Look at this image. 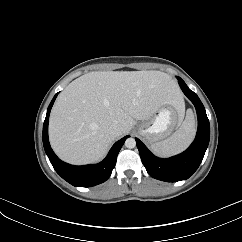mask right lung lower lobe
<instances>
[{"label":"right lung lower lobe","mask_w":242,"mask_h":242,"mask_svg":"<svg viewBox=\"0 0 242 242\" xmlns=\"http://www.w3.org/2000/svg\"><path fill=\"white\" fill-rule=\"evenodd\" d=\"M58 93L52 99L43 125V145L45 152L56 170V172L67 182L76 187H91L106 181L115 167L117 155L123 146L125 140L129 136H125L116 142L107 157L100 163L95 165L73 166L61 161L53 152L48 140V121L51 108Z\"/></svg>","instance_id":"right-lung-lower-lobe-1"}]
</instances>
